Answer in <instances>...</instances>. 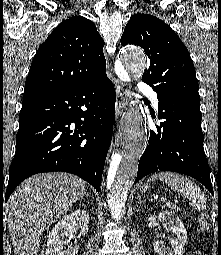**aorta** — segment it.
<instances>
[{
    "label": "aorta",
    "instance_id": "aorta-1",
    "mask_svg": "<svg viewBox=\"0 0 221 255\" xmlns=\"http://www.w3.org/2000/svg\"><path fill=\"white\" fill-rule=\"evenodd\" d=\"M125 69L119 72L122 79L139 78L146 67V57L137 47L128 46L121 51ZM123 140L113 155L107 175L108 205L111 216L120 220L125 213L127 195L138 170V160L146 148L147 127L141 106L133 105L126 115Z\"/></svg>",
    "mask_w": 221,
    "mask_h": 255
}]
</instances>
